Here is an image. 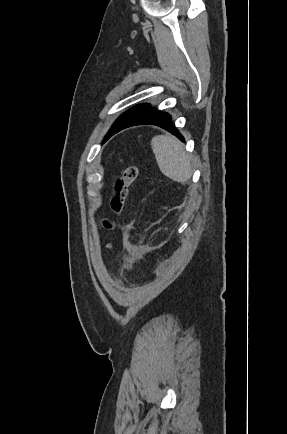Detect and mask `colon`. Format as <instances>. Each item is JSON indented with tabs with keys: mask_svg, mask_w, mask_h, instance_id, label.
Here are the masks:
<instances>
[{
	"mask_svg": "<svg viewBox=\"0 0 287 434\" xmlns=\"http://www.w3.org/2000/svg\"><path fill=\"white\" fill-rule=\"evenodd\" d=\"M138 176V168L134 165H127L121 173L114 179L112 192L108 199L107 215H103L99 219L100 227L106 233H110L113 229V217L118 215L123 207L125 198L128 194L130 186ZM105 247L110 250V242H106Z\"/></svg>",
	"mask_w": 287,
	"mask_h": 434,
	"instance_id": "5ec220e1",
	"label": "colon"
}]
</instances>
